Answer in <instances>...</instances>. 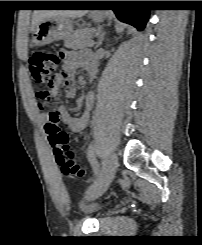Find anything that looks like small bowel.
<instances>
[{"mask_svg":"<svg viewBox=\"0 0 202 245\" xmlns=\"http://www.w3.org/2000/svg\"><path fill=\"white\" fill-rule=\"evenodd\" d=\"M61 57L67 73V79L60 81V84L65 91L66 97L72 99L76 96L75 76L77 74V70L80 67H83L86 71L89 69L95 70L96 63L93 57L83 55L76 51L64 50L61 53ZM84 104L85 111L76 117L71 116L69 110L65 107H61L53 112H42L40 106L36 107L37 117L41 122L45 123L50 114L55 113L58 115L59 120L69 129L74 132H81L86 128L90 119V109L93 104V95L87 96ZM81 105L82 102L80 101L79 106Z\"/></svg>","mask_w":202,"mask_h":245,"instance_id":"c3829d8e","label":"small bowel"}]
</instances>
